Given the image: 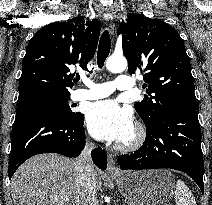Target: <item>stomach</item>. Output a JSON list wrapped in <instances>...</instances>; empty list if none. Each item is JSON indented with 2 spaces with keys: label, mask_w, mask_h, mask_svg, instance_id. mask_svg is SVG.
Returning a JSON list of instances; mask_svg holds the SVG:
<instances>
[{
  "label": "stomach",
  "mask_w": 212,
  "mask_h": 205,
  "mask_svg": "<svg viewBox=\"0 0 212 205\" xmlns=\"http://www.w3.org/2000/svg\"><path fill=\"white\" fill-rule=\"evenodd\" d=\"M121 194L131 205H165L175 188L168 170H139L113 176Z\"/></svg>",
  "instance_id": "stomach-1"
}]
</instances>
